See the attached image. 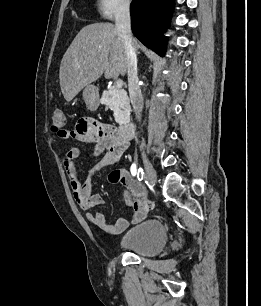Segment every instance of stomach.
Returning a JSON list of instances; mask_svg holds the SVG:
<instances>
[{
	"instance_id": "0dacf381",
	"label": "stomach",
	"mask_w": 261,
	"mask_h": 306,
	"mask_svg": "<svg viewBox=\"0 0 261 306\" xmlns=\"http://www.w3.org/2000/svg\"><path fill=\"white\" fill-rule=\"evenodd\" d=\"M82 95L87 108L91 111L97 110L100 104L98 88L94 85H87L83 89Z\"/></svg>"
}]
</instances>
